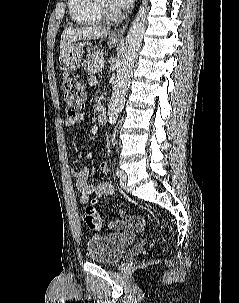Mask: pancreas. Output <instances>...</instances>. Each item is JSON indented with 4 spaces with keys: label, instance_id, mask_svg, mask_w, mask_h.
I'll return each mask as SVG.
<instances>
[{
    "label": "pancreas",
    "instance_id": "obj_1",
    "mask_svg": "<svg viewBox=\"0 0 239 303\" xmlns=\"http://www.w3.org/2000/svg\"><path fill=\"white\" fill-rule=\"evenodd\" d=\"M104 52L102 50H96L90 55L84 63V69L89 73H97L101 70L99 62L103 60Z\"/></svg>",
    "mask_w": 239,
    "mask_h": 303
}]
</instances>
